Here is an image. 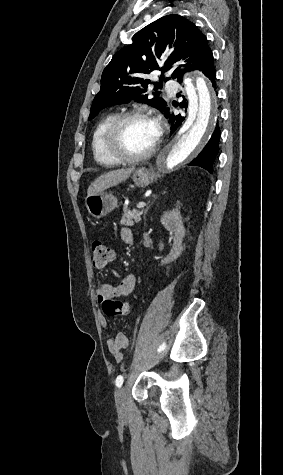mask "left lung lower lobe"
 Listing matches in <instances>:
<instances>
[{
  "instance_id": "1",
  "label": "left lung lower lobe",
  "mask_w": 283,
  "mask_h": 475,
  "mask_svg": "<svg viewBox=\"0 0 283 475\" xmlns=\"http://www.w3.org/2000/svg\"><path fill=\"white\" fill-rule=\"evenodd\" d=\"M196 69L202 71L205 74V76L211 80L213 87L214 88L216 87V82H215L216 71H215L214 63H213V54L205 62L199 65ZM177 81L181 82L182 77L178 78ZM181 107H184V105H182ZM164 114H165V117L169 118V122L172 125L171 133H173L181 125V122L184 120V117H181V115H174L168 106L164 110ZM219 138H220V128L217 125L210 140L208 141L204 149L193 161L189 163V165L201 166L205 168L206 170H208L210 173H212L213 163L219 151Z\"/></svg>"
}]
</instances>
